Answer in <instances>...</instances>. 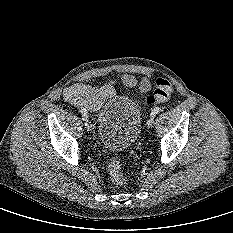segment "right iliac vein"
Wrapping results in <instances>:
<instances>
[{"mask_svg": "<svg viewBox=\"0 0 233 233\" xmlns=\"http://www.w3.org/2000/svg\"><path fill=\"white\" fill-rule=\"evenodd\" d=\"M84 121H85V126H86V128H87L88 130H90V129L92 128L91 122H90L87 118L84 119Z\"/></svg>", "mask_w": 233, "mask_h": 233, "instance_id": "right-iliac-vein-1", "label": "right iliac vein"}]
</instances>
